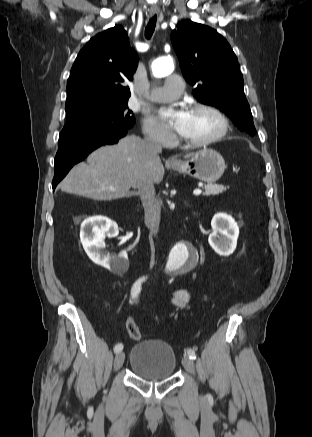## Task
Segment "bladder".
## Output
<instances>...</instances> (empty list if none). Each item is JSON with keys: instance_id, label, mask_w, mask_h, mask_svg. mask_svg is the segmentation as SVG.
Returning <instances> with one entry per match:
<instances>
[{"instance_id": "31cf9c89", "label": "bladder", "mask_w": 312, "mask_h": 437, "mask_svg": "<svg viewBox=\"0 0 312 437\" xmlns=\"http://www.w3.org/2000/svg\"><path fill=\"white\" fill-rule=\"evenodd\" d=\"M129 364L136 376L149 381H161L173 375L176 355L166 341L149 339L132 347Z\"/></svg>"}]
</instances>
